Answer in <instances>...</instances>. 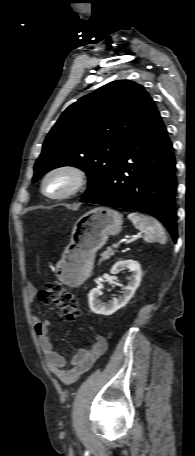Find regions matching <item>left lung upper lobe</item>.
<instances>
[{"instance_id":"left-lung-upper-lobe-1","label":"left lung upper lobe","mask_w":195,"mask_h":456,"mask_svg":"<svg viewBox=\"0 0 195 456\" xmlns=\"http://www.w3.org/2000/svg\"><path fill=\"white\" fill-rule=\"evenodd\" d=\"M153 104L145 89L129 80L113 81L80 98L48 133L34 166L33 182L53 168L74 166L89 175L84 197L93 194Z\"/></svg>"}]
</instances>
